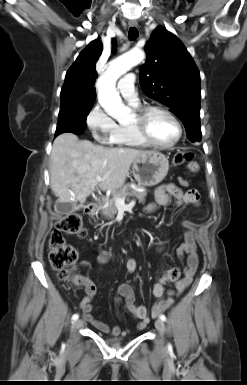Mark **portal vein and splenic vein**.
<instances>
[{"instance_id": "portal-vein-and-splenic-vein-1", "label": "portal vein and splenic vein", "mask_w": 247, "mask_h": 385, "mask_svg": "<svg viewBox=\"0 0 247 385\" xmlns=\"http://www.w3.org/2000/svg\"><path fill=\"white\" fill-rule=\"evenodd\" d=\"M96 180L101 181V180H103V177L98 175V176H96ZM115 204L117 207H120L122 209H127L130 206V205L125 204V200L122 198H116Z\"/></svg>"}]
</instances>
